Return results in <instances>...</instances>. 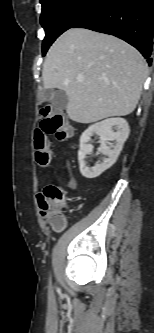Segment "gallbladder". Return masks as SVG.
Returning <instances> with one entry per match:
<instances>
[{
  "label": "gallbladder",
  "instance_id": "gallbladder-1",
  "mask_svg": "<svg viewBox=\"0 0 154 333\" xmlns=\"http://www.w3.org/2000/svg\"><path fill=\"white\" fill-rule=\"evenodd\" d=\"M42 95L45 99L50 98L51 104L59 110L65 109L68 104L67 94L63 90L44 89Z\"/></svg>",
  "mask_w": 154,
  "mask_h": 333
}]
</instances>
